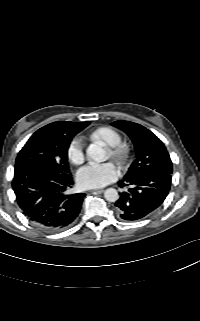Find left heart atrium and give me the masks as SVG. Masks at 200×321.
I'll return each mask as SVG.
<instances>
[{"instance_id": "obj_1", "label": "left heart atrium", "mask_w": 200, "mask_h": 321, "mask_svg": "<svg viewBox=\"0 0 200 321\" xmlns=\"http://www.w3.org/2000/svg\"><path fill=\"white\" fill-rule=\"evenodd\" d=\"M118 177V172L114 164L91 163L82 167L77 173V181L83 188H100Z\"/></svg>"}]
</instances>
